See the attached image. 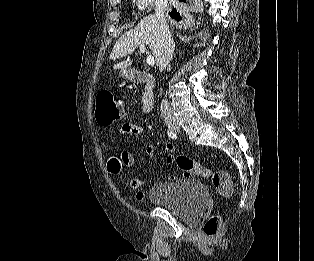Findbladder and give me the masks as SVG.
Wrapping results in <instances>:
<instances>
[{
	"instance_id": "31cf9c89",
	"label": "bladder",
	"mask_w": 314,
	"mask_h": 261,
	"mask_svg": "<svg viewBox=\"0 0 314 261\" xmlns=\"http://www.w3.org/2000/svg\"><path fill=\"white\" fill-rule=\"evenodd\" d=\"M148 199L188 221L197 219L208 207L207 188L198 180L157 182Z\"/></svg>"
}]
</instances>
